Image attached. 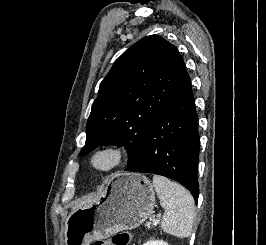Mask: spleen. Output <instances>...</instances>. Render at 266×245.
I'll return each instance as SVG.
<instances>
[{"mask_svg":"<svg viewBox=\"0 0 266 245\" xmlns=\"http://www.w3.org/2000/svg\"><path fill=\"white\" fill-rule=\"evenodd\" d=\"M153 187L161 207L165 209L161 227L173 237H190L194 223V199L181 185L172 183L166 177L154 175Z\"/></svg>","mask_w":266,"mask_h":245,"instance_id":"1","label":"spleen"}]
</instances>
